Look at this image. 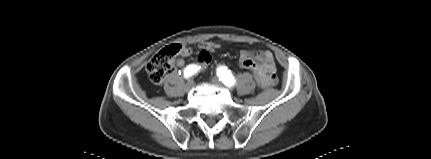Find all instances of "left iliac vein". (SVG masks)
<instances>
[{
	"mask_svg": "<svg viewBox=\"0 0 431 159\" xmlns=\"http://www.w3.org/2000/svg\"><path fill=\"white\" fill-rule=\"evenodd\" d=\"M212 84L216 85V86H222V82L217 78V77H213L211 79Z\"/></svg>",
	"mask_w": 431,
	"mask_h": 159,
	"instance_id": "4c4485c4",
	"label": "left iliac vein"
}]
</instances>
